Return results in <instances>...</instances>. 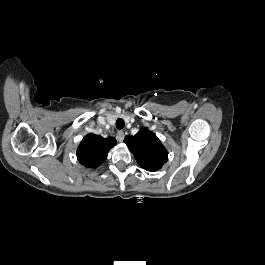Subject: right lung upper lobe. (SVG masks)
Here are the masks:
<instances>
[{
	"label": "right lung upper lobe",
	"instance_id": "right-lung-upper-lobe-1",
	"mask_svg": "<svg viewBox=\"0 0 265 265\" xmlns=\"http://www.w3.org/2000/svg\"><path fill=\"white\" fill-rule=\"evenodd\" d=\"M116 144L114 137L103 138L88 134L77 149L78 161L87 168L98 167L107 157L109 150Z\"/></svg>",
	"mask_w": 265,
	"mask_h": 265
}]
</instances>
